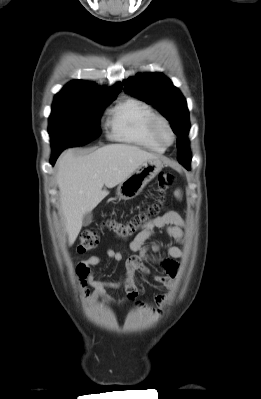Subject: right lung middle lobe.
<instances>
[{"label": "right lung middle lobe", "mask_w": 261, "mask_h": 399, "mask_svg": "<svg viewBox=\"0 0 261 399\" xmlns=\"http://www.w3.org/2000/svg\"><path fill=\"white\" fill-rule=\"evenodd\" d=\"M115 98L58 100L52 105L49 134L53 150L86 144L100 135L103 109Z\"/></svg>", "instance_id": "right-lung-middle-lobe-1"}]
</instances>
